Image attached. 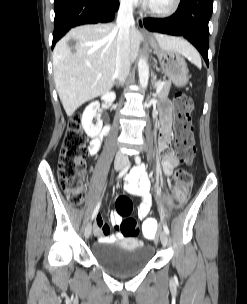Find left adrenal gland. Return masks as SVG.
Returning a JSON list of instances; mask_svg holds the SVG:
<instances>
[{"instance_id":"left-adrenal-gland-1","label":"left adrenal gland","mask_w":247,"mask_h":304,"mask_svg":"<svg viewBox=\"0 0 247 304\" xmlns=\"http://www.w3.org/2000/svg\"><path fill=\"white\" fill-rule=\"evenodd\" d=\"M152 75H153L152 85L154 88H156L157 87V76L154 73H152Z\"/></svg>"}]
</instances>
